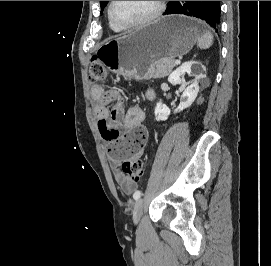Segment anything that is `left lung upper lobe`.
Listing matches in <instances>:
<instances>
[{
	"mask_svg": "<svg viewBox=\"0 0 271 266\" xmlns=\"http://www.w3.org/2000/svg\"><path fill=\"white\" fill-rule=\"evenodd\" d=\"M107 3H108V1H100L101 12L103 11V9H104V7L106 6Z\"/></svg>",
	"mask_w": 271,
	"mask_h": 266,
	"instance_id": "1",
	"label": "left lung upper lobe"
}]
</instances>
